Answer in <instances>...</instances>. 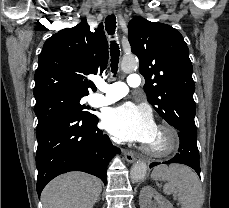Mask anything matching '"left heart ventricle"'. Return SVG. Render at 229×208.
Here are the masks:
<instances>
[{"instance_id": "b2bd125f", "label": "left heart ventricle", "mask_w": 229, "mask_h": 208, "mask_svg": "<svg viewBox=\"0 0 229 208\" xmlns=\"http://www.w3.org/2000/svg\"><path fill=\"white\" fill-rule=\"evenodd\" d=\"M165 138H167L166 131L156 129L152 137L145 143V145L155 151L166 150L169 147H166V143L164 142Z\"/></svg>"}]
</instances>
